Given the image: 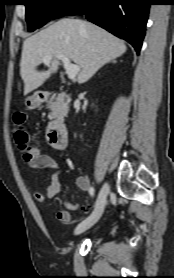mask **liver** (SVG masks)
<instances>
[{"label": "liver", "mask_w": 174, "mask_h": 278, "mask_svg": "<svg viewBox=\"0 0 174 278\" xmlns=\"http://www.w3.org/2000/svg\"><path fill=\"white\" fill-rule=\"evenodd\" d=\"M126 50L124 41L101 27L79 19L63 18L23 42L20 75L24 81V95L57 72L58 54L67 56L80 67L77 82L85 83L100 67L122 56ZM49 55L52 59L45 64L48 70L38 71L37 66Z\"/></svg>", "instance_id": "obj_1"}]
</instances>
